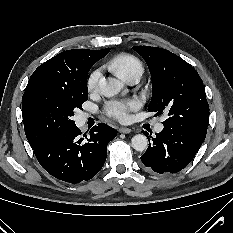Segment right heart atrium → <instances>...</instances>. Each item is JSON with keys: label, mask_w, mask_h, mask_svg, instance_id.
<instances>
[{"label": "right heart atrium", "mask_w": 233, "mask_h": 233, "mask_svg": "<svg viewBox=\"0 0 233 233\" xmlns=\"http://www.w3.org/2000/svg\"><path fill=\"white\" fill-rule=\"evenodd\" d=\"M100 78H101V71L98 69L93 71L89 75L88 80H87V88L89 92L97 91Z\"/></svg>", "instance_id": "obj_1"}]
</instances>
